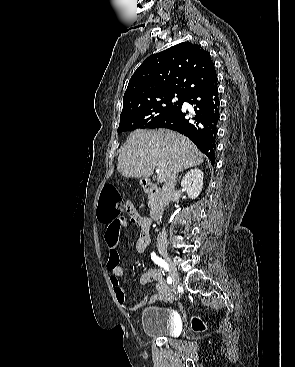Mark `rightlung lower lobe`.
<instances>
[{"label":"right lung lower lobe","mask_w":295,"mask_h":367,"mask_svg":"<svg viewBox=\"0 0 295 367\" xmlns=\"http://www.w3.org/2000/svg\"><path fill=\"white\" fill-rule=\"evenodd\" d=\"M184 102L194 105V111H185L181 106L149 128H169L187 136L214 164L219 121L217 77L188 94Z\"/></svg>","instance_id":"right-lung-lower-lobe-1"}]
</instances>
